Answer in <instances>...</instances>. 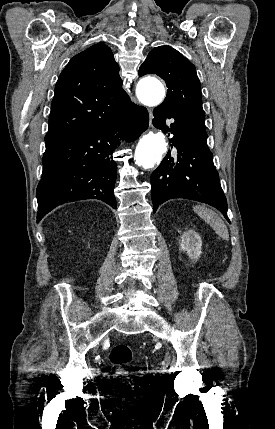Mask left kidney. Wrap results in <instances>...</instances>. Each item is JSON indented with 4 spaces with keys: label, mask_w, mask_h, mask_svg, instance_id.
I'll return each mask as SVG.
<instances>
[{
    "label": "left kidney",
    "mask_w": 275,
    "mask_h": 429,
    "mask_svg": "<svg viewBox=\"0 0 275 429\" xmlns=\"http://www.w3.org/2000/svg\"><path fill=\"white\" fill-rule=\"evenodd\" d=\"M202 240L194 230H187L181 236L180 248L188 257L196 262L202 253Z\"/></svg>",
    "instance_id": "left-kidney-1"
}]
</instances>
